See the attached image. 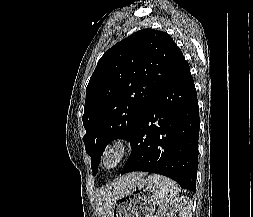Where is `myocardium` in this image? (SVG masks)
I'll use <instances>...</instances> for the list:
<instances>
[{
    "label": "myocardium",
    "mask_w": 253,
    "mask_h": 217,
    "mask_svg": "<svg viewBox=\"0 0 253 217\" xmlns=\"http://www.w3.org/2000/svg\"><path fill=\"white\" fill-rule=\"evenodd\" d=\"M130 141L124 136H116L106 143L101 151L99 167L104 172L116 170L129 156Z\"/></svg>",
    "instance_id": "1"
}]
</instances>
